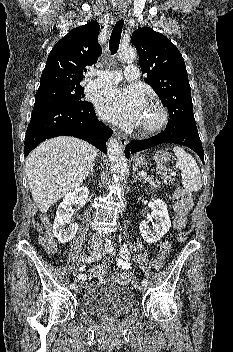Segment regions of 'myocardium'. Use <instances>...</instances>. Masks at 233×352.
Here are the masks:
<instances>
[{
  "mask_svg": "<svg viewBox=\"0 0 233 352\" xmlns=\"http://www.w3.org/2000/svg\"><path fill=\"white\" fill-rule=\"evenodd\" d=\"M147 104L155 109L157 117L149 124H140L139 129L143 133L151 134L159 131L166 125L169 115L166 107L159 100L152 98Z\"/></svg>",
  "mask_w": 233,
  "mask_h": 352,
  "instance_id": "obj_1",
  "label": "myocardium"
}]
</instances>
